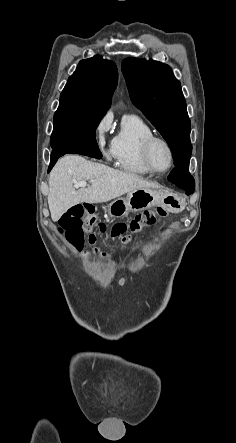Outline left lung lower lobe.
Wrapping results in <instances>:
<instances>
[{"instance_id": "0a47b994", "label": "left lung lower lobe", "mask_w": 236, "mask_h": 443, "mask_svg": "<svg viewBox=\"0 0 236 443\" xmlns=\"http://www.w3.org/2000/svg\"><path fill=\"white\" fill-rule=\"evenodd\" d=\"M168 180L185 190L187 195L193 193L195 189L194 178L189 173V163L176 166L169 174Z\"/></svg>"}]
</instances>
